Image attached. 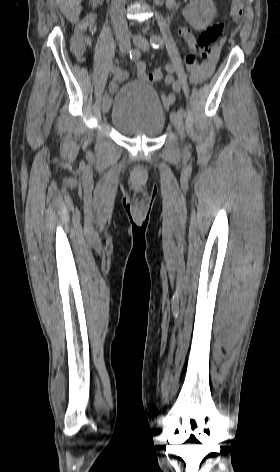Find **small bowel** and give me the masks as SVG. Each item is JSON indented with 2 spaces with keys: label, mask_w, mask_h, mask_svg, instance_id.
I'll return each mask as SVG.
<instances>
[{
  "label": "small bowel",
  "mask_w": 280,
  "mask_h": 472,
  "mask_svg": "<svg viewBox=\"0 0 280 472\" xmlns=\"http://www.w3.org/2000/svg\"><path fill=\"white\" fill-rule=\"evenodd\" d=\"M168 6L172 9L175 8L176 7L175 0H168ZM92 23H93V19L91 17H88L84 19L83 21H81L77 25L74 35L72 37V40H71L72 50L79 59L83 58V55L86 49L91 46V40L85 35V30L88 27H90ZM179 33L189 46H191L192 43L196 39L188 29L181 28L179 30ZM218 50L219 48L215 50L212 53V55H210L208 58H205L203 61L199 63H195L193 65H187V69L190 74V79L193 84H196V85L201 84L211 77L217 63ZM136 69H137V76L140 80L145 81L148 79V75L146 73V63L144 61L138 60L136 63ZM125 79H126V74L122 72V74L119 77L114 78L111 88L115 89L116 84ZM164 82L167 86H170L171 78L169 76H166L164 79ZM161 99H162L163 104L166 107H170L175 102V97L171 94H164L162 95Z\"/></svg>",
  "instance_id": "1"
}]
</instances>
